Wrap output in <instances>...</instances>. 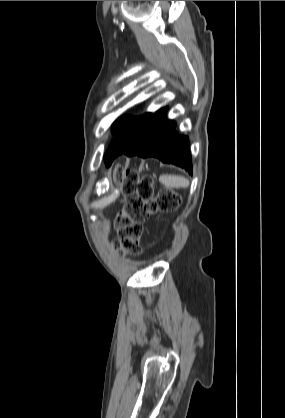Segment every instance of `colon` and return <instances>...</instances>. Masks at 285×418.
Here are the masks:
<instances>
[{"mask_svg": "<svg viewBox=\"0 0 285 418\" xmlns=\"http://www.w3.org/2000/svg\"><path fill=\"white\" fill-rule=\"evenodd\" d=\"M115 177L119 180L121 174L116 173ZM122 186L124 193L131 198L115 220L118 235L113 241V247L120 254L139 256L142 252L140 238L143 222L155 212L174 211L180 196L171 189H163L155 195L149 177L138 180L136 176H132L123 181Z\"/></svg>", "mask_w": 285, "mask_h": 418, "instance_id": "colon-1", "label": "colon"}]
</instances>
